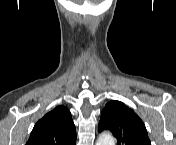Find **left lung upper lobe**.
Listing matches in <instances>:
<instances>
[{
	"instance_id": "5c2ea615",
	"label": "left lung upper lobe",
	"mask_w": 176,
	"mask_h": 145,
	"mask_svg": "<svg viewBox=\"0 0 176 145\" xmlns=\"http://www.w3.org/2000/svg\"><path fill=\"white\" fill-rule=\"evenodd\" d=\"M104 129L113 133L117 145H151L142 120L120 101L112 100L103 109L98 130Z\"/></svg>"
}]
</instances>
